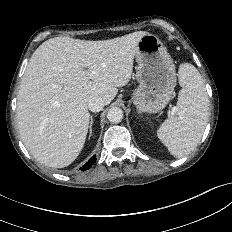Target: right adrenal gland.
I'll return each instance as SVG.
<instances>
[{
  "label": "right adrenal gland",
  "instance_id": "right-adrenal-gland-1",
  "mask_svg": "<svg viewBox=\"0 0 232 232\" xmlns=\"http://www.w3.org/2000/svg\"><path fill=\"white\" fill-rule=\"evenodd\" d=\"M92 126H93V115L90 116V126H89V139L92 136Z\"/></svg>",
  "mask_w": 232,
  "mask_h": 232
}]
</instances>
